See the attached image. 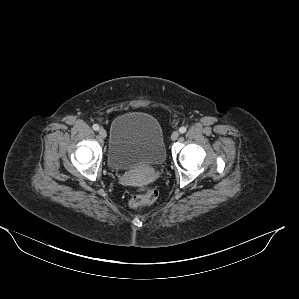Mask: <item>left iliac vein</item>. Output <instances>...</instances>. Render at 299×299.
<instances>
[{"label": "left iliac vein", "mask_w": 299, "mask_h": 299, "mask_svg": "<svg viewBox=\"0 0 299 299\" xmlns=\"http://www.w3.org/2000/svg\"><path fill=\"white\" fill-rule=\"evenodd\" d=\"M178 137H179V132H178V131H174V132L171 134V139H172V140H176Z\"/></svg>", "instance_id": "4c4485c4"}]
</instances>
